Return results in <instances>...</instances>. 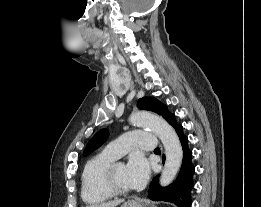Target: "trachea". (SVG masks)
Returning <instances> with one entry per match:
<instances>
[{"mask_svg": "<svg viewBox=\"0 0 261 207\" xmlns=\"http://www.w3.org/2000/svg\"><path fill=\"white\" fill-rule=\"evenodd\" d=\"M155 150H157V151H158V150H160V149H159V148H156Z\"/></svg>", "mask_w": 261, "mask_h": 207, "instance_id": "trachea-1", "label": "trachea"}]
</instances>
